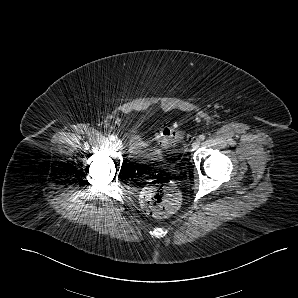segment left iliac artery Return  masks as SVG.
<instances>
[{"instance_id": "left-iliac-artery-1", "label": "left iliac artery", "mask_w": 298, "mask_h": 298, "mask_svg": "<svg viewBox=\"0 0 298 298\" xmlns=\"http://www.w3.org/2000/svg\"><path fill=\"white\" fill-rule=\"evenodd\" d=\"M205 137H206V136H205L204 134H202V135L199 136V139H200L201 141H203V140L205 139Z\"/></svg>"}]
</instances>
